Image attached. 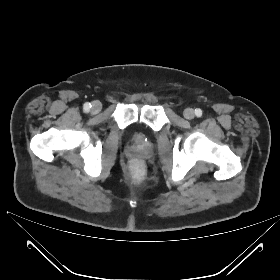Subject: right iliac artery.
Wrapping results in <instances>:
<instances>
[{"label": "right iliac artery", "mask_w": 280, "mask_h": 280, "mask_svg": "<svg viewBox=\"0 0 280 280\" xmlns=\"http://www.w3.org/2000/svg\"><path fill=\"white\" fill-rule=\"evenodd\" d=\"M91 108V104L90 103H85L84 104V109L85 110H89Z\"/></svg>", "instance_id": "82829eb1"}]
</instances>
